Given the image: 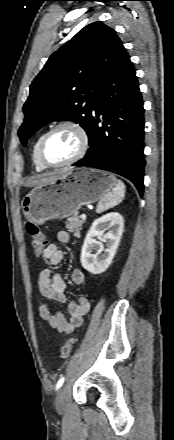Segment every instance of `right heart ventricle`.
I'll list each match as a JSON object with an SVG mask.
<instances>
[{
  "mask_svg": "<svg viewBox=\"0 0 174 440\" xmlns=\"http://www.w3.org/2000/svg\"><path fill=\"white\" fill-rule=\"evenodd\" d=\"M43 134H44V133H41V134H39V135L36 137V139H35L34 142H33L32 149H31V158H32V162H33V165H34V167H35V169H36L37 171H44V170L46 169V167H44V166L41 164V162H40V160H39V158H38L39 142H40V139H41V137H42Z\"/></svg>",
  "mask_w": 174,
  "mask_h": 440,
  "instance_id": "e07e8e85",
  "label": "right heart ventricle"
}]
</instances>
